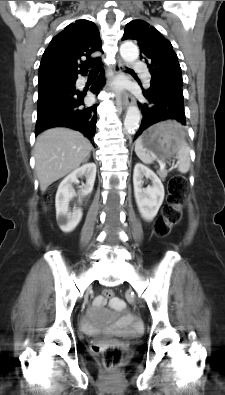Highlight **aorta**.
Wrapping results in <instances>:
<instances>
[{"label": "aorta", "instance_id": "1", "mask_svg": "<svg viewBox=\"0 0 225 395\" xmlns=\"http://www.w3.org/2000/svg\"><path fill=\"white\" fill-rule=\"evenodd\" d=\"M120 55L123 60L127 63H132L137 60L139 56L138 47L131 42H124L120 46ZM141 120L140 110L136 106H130L127 109L125 120H124V128L127 131L133 132L139 126Z\"/></svg>", "mask_w": 225, "mask_h": 395}]
</instances>
